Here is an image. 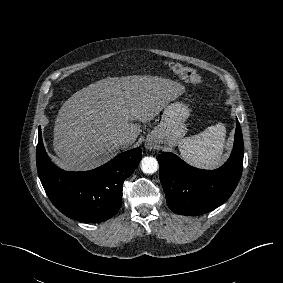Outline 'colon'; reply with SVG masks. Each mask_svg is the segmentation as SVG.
I'll list each match as a JSON object with an SVG mask.
<instances>
[{"instance_id":"colon-1","label":"colon","mask_w":283,"mask_h":283,"mask_svg":"<svg viewBox=\"0 0 283 283\" xmlns=\"http://www.w3.org/2000/svg\"><path fill=\"white\" fill-rule=\"evenodd\" d=\"M167 65L173 72L194 86L201 87L203 85L202 77L193 68L177 62H168Z\"/></svg>"}]
</instances>
